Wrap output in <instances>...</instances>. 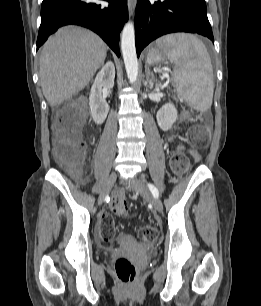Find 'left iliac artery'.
Segmentation results:
<instances>
[{"mask_svg":"<svg viewBox=\"0 0 261 306\" xmlns=\"http://www.w3.org/2000/svg\"><path fill=\"white\" fill-rule=\"evenodd\" d=\"M148 187L151 191V193L153 194L154 197H159V191L158 189L151 183H148Z\"/></svg>","mask_w":261,"mask_h":306,"instance_id":"obj_1","label":"left iliac artery"}]
</instances>
